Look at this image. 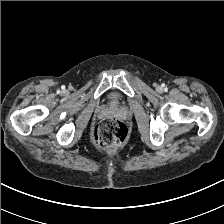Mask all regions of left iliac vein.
Wrapping results in <instances>:
<instances>
[{
    "label": "left iliac vein",
    "instance_id": "left-iliac-vein-1",
    "mask_svg": "<svg viewBox=\"0 0 224 224\" xmlns=\"http://www.w3.org/2000/svg\"><path fill=\"white\" fill-rule=\"evenodd\" d=\"M156 88L159 90V91H162V88L160 86H156Z\"/></svg>",
    "mask_w": 224,
    "mask_h": 224
}]
</instances>
